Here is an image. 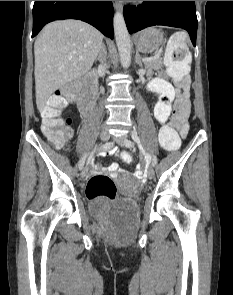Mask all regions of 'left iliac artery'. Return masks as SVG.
<instances>
[{
    "label": "left iliac artery",
    "mask_w": 233,
    "mask_h": 295,
    "mask_svg": "<svg viewBox=\"0 0 233 295\" xmlns=\"http://www.w3.org/2000/svg\"><path fill=\"white\" fill-rule=\"evenodd\" d=\"M135 143L136 142L134 140L133 141L132 140H126L125 141V144L126 145H132V144L134 145ZM156 165H157V156L156 155H153L152 156V166L151 167L154 169L156 167Z\"/></svg>",
    "instance_id": "1"
}]
</instances>
